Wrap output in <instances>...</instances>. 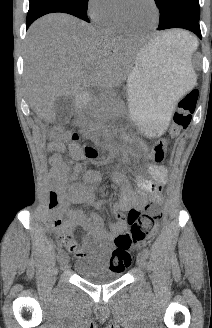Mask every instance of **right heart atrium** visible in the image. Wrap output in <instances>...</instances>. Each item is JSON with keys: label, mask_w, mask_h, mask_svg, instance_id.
I'll return each instance as SVG.
<instances>
[{"label": "right heart atrium", "mask_w": 212, "mask_h": 328, "mask_svg": "<svg viewBox=\"0 0 212 328\" xmlns=\"http://www.w3.org/2000/svg\"><path fill=\"white\" fill-rule=\"evenodd\" d=\"M113 10V0H87L86 2L87 14L96 23H99Z\"/></svg>", "instance_id": "1"}]
</instances>
